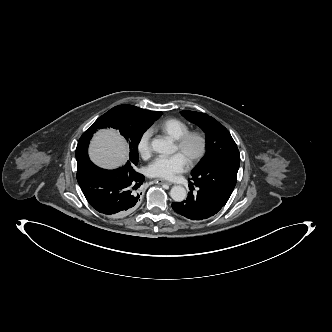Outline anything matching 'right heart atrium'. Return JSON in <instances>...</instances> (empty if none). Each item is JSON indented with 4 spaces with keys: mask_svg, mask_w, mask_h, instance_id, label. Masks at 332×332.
Segmentation results:
<instances>
[{
    "mask_svg": "<svg viewBox=\"0 0 332 332\" xmlns=\"http://www.w3.org/2000/svg\"><path fill=\"white\" fill-rule=\"evenodd\" d=\"M151 136L152 131L147 129L138 139L137 150L141 157L148 158L151 155Z\"/></svg>",
    "mask_w": 332,
    "mask_h": 332,
    "instance_id": "1",
    "label": "right heart atrium"
}]
</instances>
